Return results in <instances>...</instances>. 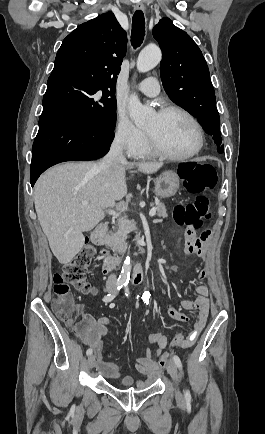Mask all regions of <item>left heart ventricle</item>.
<instances>
[{
	"instance_id": "b2bd125f",
	"label": "left heart ventricle",
	"mask_w": 265,
	"mask_h": 434,
	"mask_svg": "<svg viewBox=\"0 0 265 434\" xmlns=\"http://www.w3.org/2000/svg\"><path fill=\"white\" fill-rule=\"evenodd\" d=\"M145 129L158 146L171 154H185L196 145L194 126L185 115L177 111L162 116L155 113Z\"/></svg>"
}]
</instances>
